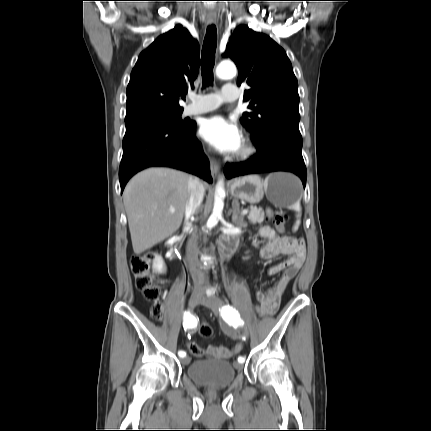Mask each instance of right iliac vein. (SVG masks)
Here are the masks:
<instances>
[{"instance_id": "1", "label": "right iliac vein", "mask_w": 431, "mask_h": 431, "mask_svg": "<svg viewBox=\"0 0 431 431\" xmlns=\"http://www.w3.org/2000/svg\"><path fill=\"white\" fill-rule=\"evenodd\" d=\"M200 300H201V292L194 291L191 294L190 299H189V303H188L189 309H194L197 306V304L200 302ZM189 362H190V358L189 357H184L181 360V363L183 365H187V364H189Z\"/></svg>"}]
</instances>
